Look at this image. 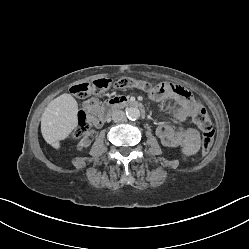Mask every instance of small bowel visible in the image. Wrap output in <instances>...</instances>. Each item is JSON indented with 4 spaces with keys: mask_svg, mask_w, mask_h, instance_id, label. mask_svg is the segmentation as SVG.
Wrapping results in <instances>:
<instances>
[{
    "mask_svg": "<svg viewBox=\"0 0 249 249\" xmlns=\"http://www.w3.org/2000/svg\"><path fill=\"white\" fill-rule=\"evenodd\" d=\"M153 97L160 100L170 99L168 108L172 118L178 123L193 124L200 104L186 88L171 82H159L155 85ZM156 133L165 146L180 148L185 157H192L199 150L200 134L194 126L175 129L168 124H162Z\"/></svg>",
    "mask_w": 249,
    "mask_h": 249,
    "instance_id": "obj_1",
    "label": "small bowel"
}]
</instances>
